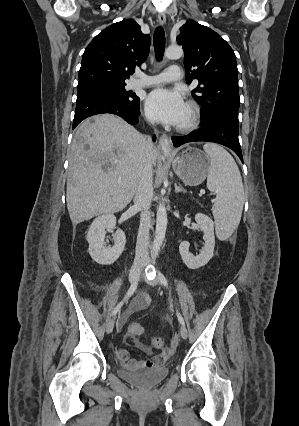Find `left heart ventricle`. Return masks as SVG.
Listing matches in <instances>:
<instances>
[{
    "label": "left heart ventricle",
    "mask_w": 299,
    "mask_h": 426,
    "mask_svg": "<svg viewBox=\"0 0 299 426\" xmlns=\"http://www.w3.org/2000/svg\"><path fill=\"white\" fill-rule=\"evenodd\" d=\"M189 117H190V112H189V109L187 107L184 120L182 121V123L180 125L186 124L189 120Z\"/></svg>",
    "instance_id": "left-heart-ventricle-1"
}]
</instances>
